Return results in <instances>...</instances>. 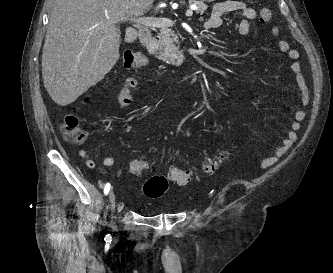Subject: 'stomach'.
<instances>
[{"instance_id":"1","label":"stomach","mask_w":333,"mask_h":273,"mask_svg":"<svg viewBox=\"0 0 333 273\" xmlns=\"http://www.w3.org/2000/svg\"><path fill=\"white\" fill-rule=\"evenodd\" d=\"M203 1H205V2H213L215 0H203Z\"/></svg>"}]
</instances>
